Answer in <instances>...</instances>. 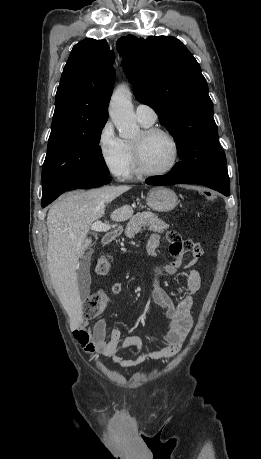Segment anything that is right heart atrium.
<instances>
[{"instance_id":"1","label":"right heart atrium","mask_w":261,"mask_h":459,"mask_svg":"<svg viewBox=\"0 0 261 459\" xmlns=\"http://www.w3.org/2000/svg\"><path fill=\"white\" fill-rule=\"evenodd\" d=\"M97 148L106 169L116 177H124L129 168V158L123 140L116 134L111 121H106L100 128Z\"/></svg>"}]
</instances>
